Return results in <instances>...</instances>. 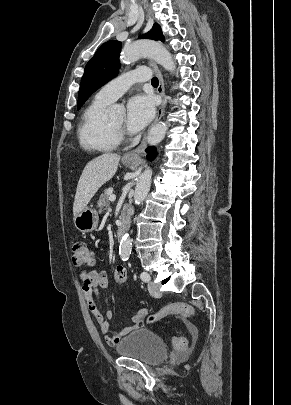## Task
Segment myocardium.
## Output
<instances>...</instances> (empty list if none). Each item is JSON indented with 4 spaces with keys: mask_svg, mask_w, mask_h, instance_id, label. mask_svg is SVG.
I'll use <instances>...</instances> for the list:
<instances>
[{
    "mask_svg": "<svg viewBox=\"0 0 291 405\" xmlns=\"http://www.w3.org/2000/svg\"><path fill=\"white\" fill-rule=\"evenodd\" d=\"M110 127H111L113 133L115 134V136H116V138H117L118 140L124 138L125 132H124L123 128L116 127V126H114L112 123H110Z\"/></svg>",
    "mask_w": 291,
    "mask_h": 405,
    "instance_id": "f54148a6",
    "label": "myocardium"
}]
</instances>
